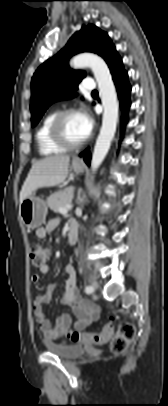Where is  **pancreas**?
I'll list each match as a JSON object with an SVG mask.
<instances>
[{
  "label": "pancreas",
  "instance_id": "cf45deb5",
  "mask_svg": "<svg viewBox=\"0 0 168 406\" xmlns=\"http://www.w3.org/2000/svg\"><path fill=\"white\" fill-rule=\"evenodd\" d=\"M73 199L72 189H65L50 195L47 200V205L54 212H58L59 208H64L70 205Z\"/></svg>",
  "mask_w": 168,
  "mask_h": 406
}]
</instances>
